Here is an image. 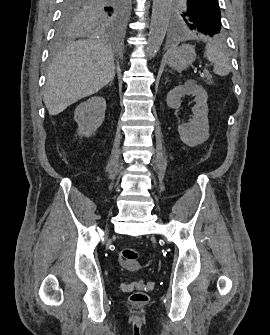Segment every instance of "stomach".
I'll return each mask as SVG.
<instances>
[{
	"label": "stomach",
	"instance_id": "obj_1",
	"mask_svg": "<svg viewBox=\"0 0 270 335\" xmlns=\"http://www.w3.org/2000/svg\"><path fill=\"white\" fill-rule=\"evenodd\" d=\"M195 58V46H190V44H182L179 48H171L167 52L168 64L177 72H182V70L188 68Z\"/></svg>",
	"mask_w": 270,
	"mask_h": 335
}]
</instances>
